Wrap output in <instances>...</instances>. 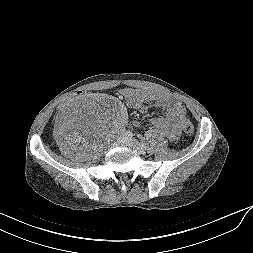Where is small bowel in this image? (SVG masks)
I'll use <instances>...</instances> for the list:
<instances>
[{
  "label": "small bowel",
  "mask_w": 253,
  "mask_h": 253,
  "mask_svg": "<svg viewBox=\"0 0 253 253\" xmlns=\"http://www.w3.org/2000/svg\"><path fill=\"white\" fill-rule=\"evenodd\" d=\"M120 94L125 99L127 106L140 112H145L151 107L162 108L164 114L152 119L153 126L162 131L172 141L179 138L180 126L186 116V110L180 101L150 91L133 88H124L120 91ZM133 125L138 127L139 122L134 121Z\"/></svg>",
  "instance_id": "small-bowel-1"
}]
</instances>
